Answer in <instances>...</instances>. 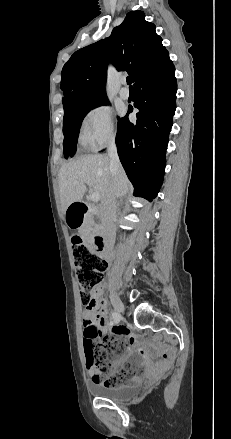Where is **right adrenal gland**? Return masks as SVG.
I'll use <instances>...</instances> for the list:
<instances>
[{"label": "right adrenal gland", "mask_w": 231, "mask_h": 439, "mask_svg": "<svg viewBox=\"0 0 231 439\" xmlns=\"http://www.w3.org/2000/svg\"><path fill=\"white\" fill-rule=\"evenodd\" d=\"M122 200H123V197H120V198H119V201H122Z\"/></svg>", "instance_id": "right-adrenal-gland-1"}]
</instances>
